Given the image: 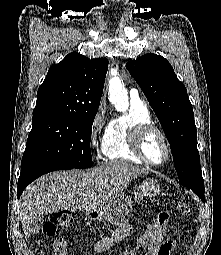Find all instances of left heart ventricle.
<instances>
[{"mask_svg":"<svg viewBox=\"0 0 221 255\" xmlns=\"http://www.w3.org/2000/svg\"><path fill=\"white\" fill-rule=\"evenodd\" d=\"M144 152L149 160L160 163L166 157V148L160 136L151 133L144 141Z\"/></svg>","mask_w":221,"mask_h":255,"instance_id":"obj_1","label":"left heart ventricle"}]
</instances>
